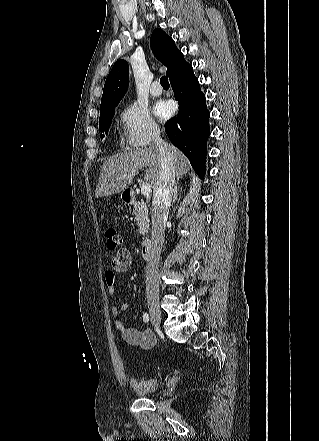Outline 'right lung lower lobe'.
<instances>
[{
    "instance_id": "98d812e1",
    "label": "right lung lower lobe",
    "mask_w": 319,
    "mask_h": 441,
    "mask_svg": "<svg viewBox=\"0 0 319 441\" xmlns=\"http://www.w3.org/2000/svg\"><path fill=\"white\" fill-rule=\"evenodd\" d=\"M170 83L179 104V112L165 125L166 133L173 145L186 155L195 172L203 179L206 171V143L210 136L205 95L191 65L173 75Z\"/></svg>"
}]
</instances>
